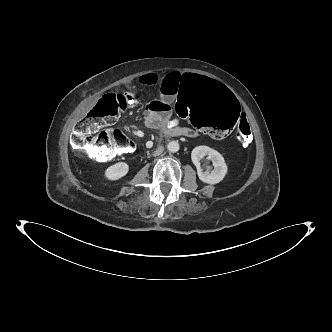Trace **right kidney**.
Instances as JSON below:
<instances>
[{
	"label": "right kidney",
	"instance_id": "right-kidney-1",
	"mask_svg": "<svg viewBox=\"0 0 332 332\" xmlns=\"http://www.w3.org/2000/svg\"><path fill=\"white\" fill-rule=\"evenodd\" d=\"M129 172V165L126 162H118L105 170V178L111 181L118 180Z\"/></svg>",
	"mask_w": 332,
	"mask_h": 332
}]
</instances>
